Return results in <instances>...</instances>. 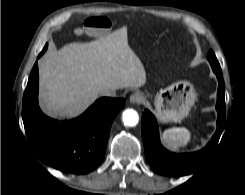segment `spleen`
<instances>
[{
  "label": "spleen",
  "instance_id": "1",
  "mask_svg": "<svg viewBox=\"0 0 245 195\" xmlns=\"http://www.w3.org/2000/svg\"><path fill=\"white\" fill-rule=\"evenodd\" d=\"M162 139L169 148L176 151L190 142L191 133L188 129L183 127L170 128L163 132Z\"/></svg>",
  "mask_w": 245,
  "mask_h": 195
}]
</instances>
